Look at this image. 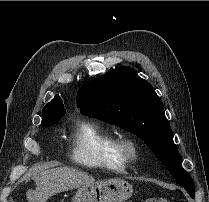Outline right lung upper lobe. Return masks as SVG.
<instances>
[{"label": "right lung upper lobe", "instance_id": "obj_1", "mask_svg": "<svg viewBox=\"0 0 209 202\" xmlns=\"http://www.w3.org/2000/svg\"><path fill=\"white\" fill-rule=\"evenodd\" d=\"M57 108H64V105H63L62 99L59 96L56 95L54 97V99L43 108V111L47 112V111H50V110H53V109H57ZM51 123L52 122L49 121L48 119L42 118L41 125L43 127H45V126H47V125H49Z\"/></svg>", "mask_w": 209, "mask_h": 202}]
</instances>
